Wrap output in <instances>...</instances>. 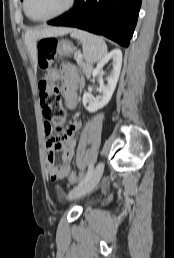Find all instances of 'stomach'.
Segmentation results:
<instances>
[{
  "label": "stomach",
  "instance_id": "0dacf381",
  "mask_svg": "<svg viewBox=\"0 0 174 258\" xmlns=\"http://www.w3.org/2000/svg\"><path fill=\"white\" fill-rule=\"evenodd\" d=\"M73 45L65 40H62L57 46V53L61 56H68L73 52ZM47 79L50 82L57 81L59 79V73L56 69H50L47 73Z\"/></svg>",
  "mask_w": 174,
  "mask_h": 258
}]
</instances>
